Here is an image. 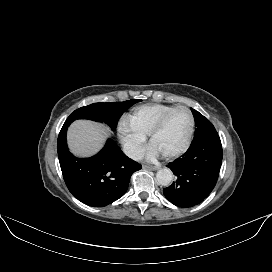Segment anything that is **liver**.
Masks as SVG:
<instances>
[{
    "instance_id": "obj_1",
    "label": "liver",
    "mask_w": 272,
    "mask_h": 272,
    "mask_svg": "<svg viewBox=\"0 0 272 272\" xmlns=\"http://www.w3.org/2000/svg\"><path fill=\"white\" fill-rule=\"evenodd\" d=\"M109 128L88 120L75 121L68 130V144L71 152L78 156H91L103 146Z\"/></svg>"
}]
</instances>
